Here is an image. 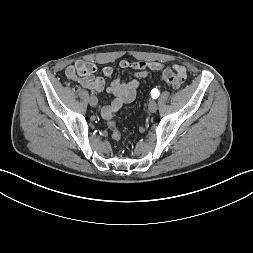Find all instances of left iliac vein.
<instances>
[{"mask_svg":"<svg viewBox=\"0 0 253 253\" xmlns=\"http://www.w3.org/2000/svg\"><path fill=\"white\" fill-rule=\"evenodd\" d=\"M158 105L155 100H152L149 102L148 109L151 113H154L157 111Z\"/></svg>","mask_w":253,"mask_h":253,"instance_id":"obj_1","label":"left iliac vein"}]
</instances>
